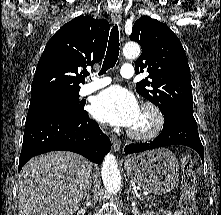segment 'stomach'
I'll return each instance as SVG.
<instances>
[{
    "mask_svg": "<svg viewBox=\"0 0 221 215\" xmlns=\"http://www.w3.org/2000/svg\"><path fill=\"white\" fill-rule=\"evenodd\" d=\"M124 166L128 175L145 191L166 194L176 185L179 165L175 155L166 148L149 150L127 157Z\"/></svg>",
    "mask_w": 221,
    "mask_h": 215,
    "instance_id": "1",
    "label": "stomach"
}]
</instances>
